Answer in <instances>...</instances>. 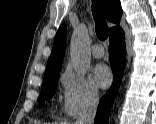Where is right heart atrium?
Segmentation results:
<instances>
[{
    "mask_svg": "<svg viewBox=\"0 0 156 124\" xmlns=\"http://www.w3.org/2000/svg\"><path fill=\"white\" fill-rule=\"evenodd\" d=\"M60 82L62 108L66 117L75 118L96 107L98 90L90 80L76 77L67 69L62 73Z\"/></svg>",
    "mask_w": 156,
    "mask_h": 124,
    "instance_id": "right-heart-atrium-1",
    "label": "right heart atrium"
}]
</instances>
